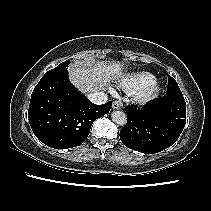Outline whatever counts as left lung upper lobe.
I'll return each mask as SVG.
<instances>
[{"instance_id": "1", "label": "left lung upper lobe", "mask_w": 211, "mask_h": 211, "mask_svg": "<svg viewBox=\"0 0 211 211\" xmlns=\"http://www.w3.org/2000/svg\"><path fill=\"white\" fill-rule=\"evenodd\" d=\"M182 92L177 84V82L171 77L168 76V87H167V95H181Z\"/></svg>"}]
</instances>
